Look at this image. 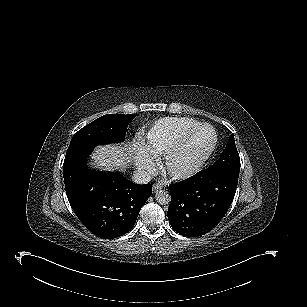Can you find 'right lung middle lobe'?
Wrapping results in <instances>:
<instances>
[{"label":"right lung middle lobe","instance_id":"right-lung-middle-lobe-1","mask_svg":"<svg viewBox=\"0 0 307 307\" xmlns=\"http://www.w3.org/2000/svg\"><path fill=\"white\" fill-rule=\"evenodd\" d=\"M135 115H104L75 133L67 153H90L97 145L121 142L125 138L129 122Z\"/></svg>","mask_w":307,"mask_h":307}]
</instances>
